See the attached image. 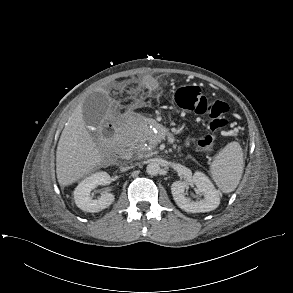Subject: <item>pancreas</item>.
I'll return each instance as SVG.
<instances>
[{"mask_svg": "<svg viewBox=\"0 0 293 293\" xmlns=\"http://www.w3.org/2000/svg\"><path fill=\"white\" fill-rule=\"evenodd\" d=\"M136 138L137 141H139L141 143V145L139 146L140 148L144 149V146H143V143L146 141V140H149V136L148 135H145L144 132H135L133 130H128V131H123L121 134H120V137H119V143H128V142H131L133 141V138ZM162 139L161 136H158L154 139V142L151 144L152 147L156 146V144L158 142H160Z\"/></svg>", "mask_w": 293, "mask_h": 293, "instance_id": "cf45deb5", "label": "pancreas"}]
</instances>
